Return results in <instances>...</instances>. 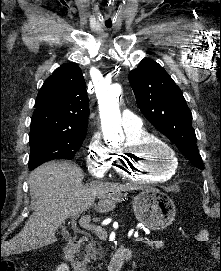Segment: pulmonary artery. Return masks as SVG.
Here are the masks:
<instances>
[{"instance_id": "e3ab8cb5", "label": "pulmonary artery", "mask_w": 221, "mask_h": 271, "mask_svg": "<svg viewBox=\"0 0 221 271\" xmlns=\"http://www.w3.org/2000/svg\"><path fill=\"white\" fill-rule=\"evenodd\" d=\"M119 127H142V122H139V117H135V112H122V122H119ZM140 132V128H127L125 136L131 138L133 136L131 133Z\"/></svg>"}]
</instances>
